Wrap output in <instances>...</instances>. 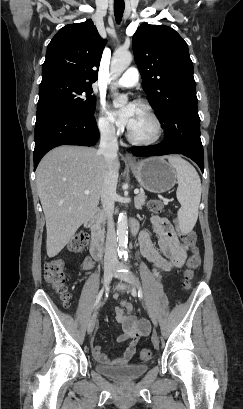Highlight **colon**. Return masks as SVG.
Masks as SVG:
<instances>
[{
	"mask_svg": "<svg viewBox=\"0 0 243 409\" xmlns=\"http://www.w3.org/2000/svg\"><path fill=\"white\" fill-rule=\"evenodd\" d=\"M149 210L153 214H160L164 211V204L161 200L153 199L149 202ZM180 236L183 242L191 248V255L185 269V287L190 289L195 271L201 263V255L196 245V234L194 231H180ZM87 241L88 238L85 234L76 235L71 242L72 250L74 252L82 250L87 244ZM44 276L45 280L59 296L62 303L67 306L69 304L70 294L67 290L63 260L60 257H55L46 262L44 266ZM151 355V350L148 348H143L139 353L140 359L144 361L149 360Z\"/></svg>",
	"mask_w": 243,
	"mask_h": 409,
	"instance_id": "obj_1",
	"label": "colon"
}]
</instances>
